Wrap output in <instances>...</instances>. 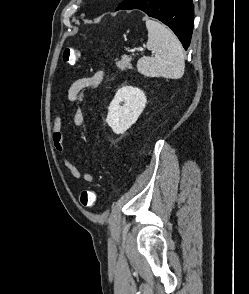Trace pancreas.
<instances>
[{
    "mask_svg": "<svg viewBox=\"0 0 249 294\" xmlns=\"http://www.w3.org/2000/svg\"><path fill=\"white\" fill-rule=\"evenodd\" d=\"M131 57L128 56H122V59L117 61L116 60V66L121 70L124 71L126 69H131L132 66L130 64Z\"/></svg>",
    "mask_w": 249,
    "mask_h": 294,
    "instance_id": "pancreas-1",
    "label": "pancreas"
}]
</instances>
